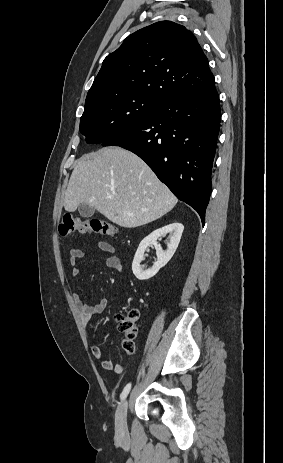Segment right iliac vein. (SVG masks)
Listing matches in <instances>:
<instances>
[{"label": "right iliac vein", "mask_w": 283, "mask_h": 463, "mask_svg": "<svg viewBox=\"0 0 283 463\" xmlns=\"http://www.w3.org/2000/svg\"><path fill=\"white\" fill-rule=\"evenodd\" d=\"M127 408H128V401L127 399H125L121 402V404L119 405L116 411L115 428H116V434L120 439H124L128 435Z\"/></svg>", "instance_id": "obj_1"}]
</instances>
